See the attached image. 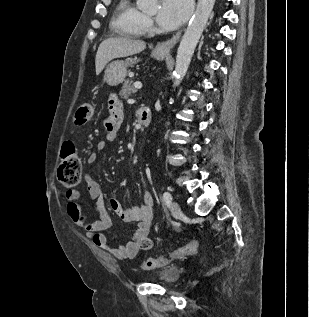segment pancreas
<instances>
[{
	"label": "pancreas",
	"instance_id": "cf45deb5",
	"mask_svg": "<svg viewBox=\"0 0 309 317\" xmlns=\"http://www.w3.org/2000/svg\"><path fill=\"white\" fill-rule=\"evenodd\" d=\"M137 92L136 88L134 87V82L132 79L125 80L123 87L120 91V96L124 99L128 98L132 94Z\"/></svg>",
	"mask_w": 309,
	"mask_h": 317
}]
</instances>
